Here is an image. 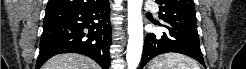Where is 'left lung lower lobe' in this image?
Instances as JSON below:
<instances>
[{
  "mask_svg": "<svg viewBox=\"0 0 246 69\" xmlns=\"http://www.w3.org/2000/svg\"><path fill=\"white\" fill-rule=\"evenodd\" d=\"M163 22V24H159L166 28L163 35H155L153 33L146 35L140 69L153 57L169 52L190 56L204 65L196 28Z\"/></svg>",
  "mask_w": 246,
  "mask_h": 69,
  "instance_id": "obj_1",
  "label": "left lung lower lobe"
}]
</instances>
